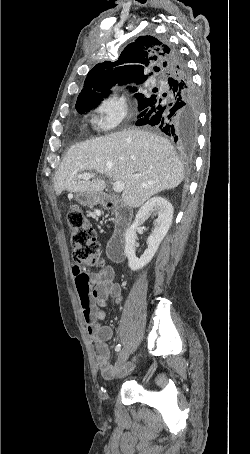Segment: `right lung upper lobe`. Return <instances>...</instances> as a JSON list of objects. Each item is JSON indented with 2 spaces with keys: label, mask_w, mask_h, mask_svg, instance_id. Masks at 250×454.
I'll list each match as a JSON object with an SVG mask.
<instances>
[{
  "label": "right lung upper lobe",
  "mask_w": 250,
  "mask_h": 454,
  "mask_svg": "<svg viewBox=\"0 0 250 454\" xmlns=\"http://www.w3.org/2000/svg\"><path fill=\"white\" fill-rule=\"evenodd\" d=\"M170 64V51L165 42L153 36H140L124 48L117 61L99 63L89 71L76 104L101 101L113 83L144 82L148 77L144 69L148 66L156 65L154 71L165 76Z\"/></svg>",
  "instance_id": "right-lung-upper-lobe-1"
}]
</instances>
